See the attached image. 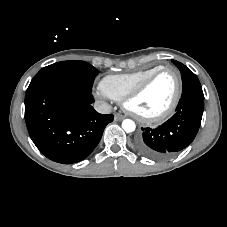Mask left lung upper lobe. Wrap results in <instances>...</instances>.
<instances>
[{"instance_id":"1","label":"left lung upper lobe","mask_w":227,"mask_h":227,"mask_svg":"<svg viewBox=\"0 0 227 227\" xmlns=\"http://www.w3.org/2000/svg\"><path fill=\"white\" fill-rule=\"evenodd\" d=\"M175 66H177L181 72L182 77V83H183V89L182 94L188 93V92H203L201 84L197 78V76L185 65L182 63L171 60Z\"/></svg>"}]
</instances>
